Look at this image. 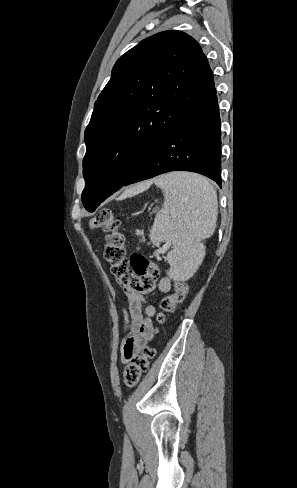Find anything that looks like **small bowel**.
I'll list each match as a JSON object with an SVG mask.
<instances>
[{"mask_svg": "<svg viewBox=\"0 0 297 488\" xmlns=\"http://www.w3.org/2000/svg\"><path fill=\"white\" fill-rule=\"evenodd\" d=\"M127 299V307L122 309L123 330L126 336L122 344V357L129 362L153 336V319L156 306L148 303L144 293L119 282ZM159 294L171 291V279L163 276L156 287Z\"/></svg>", "mask_w": 297, "mask_h": 488, "instance_id": "1", "label": "small bowel"}]
</instances>
